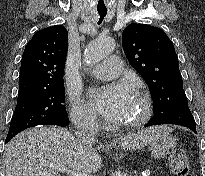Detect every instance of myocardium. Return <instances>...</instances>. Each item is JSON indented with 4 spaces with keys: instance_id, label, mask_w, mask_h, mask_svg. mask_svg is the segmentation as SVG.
Here are the masks:
<instances>
[{
    "instance_id": "obj_1",
    "label": "myocardium",
    "mask_w": 205,
    "mask_h": 176,
    "mask_svg": "<svg viewBox=\"0 0 205 176\" xmlns=\"http://www.w3.org/2000/svg\"><path fill=\"white\" fill-rule=\"evenodd\" d=\"M137 97L143 106V111H142L141 116L135 121H132L129 123H121L120 124L121 128H125V129L139 128L143 126L144 124H146L148 120L150 119L151 114H152V103H151V99L149 95L144 91H140L137 93Z\"/></svg>"
}]
</instances>
